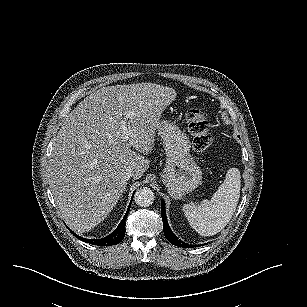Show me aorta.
<instances>
[{
  "mask_svg": "<svg viewBox=\"0 0 307 307\" xmlns=\"http://www.w3.org/2000/svg\"><path fill=\"white\" fill-rule=\"evenodd\" d=\"M134 200L138 206L148 207L154 201V193L148 187H141L135 192Z\"/></svg>",
  "mask_w": 307,
  "mask_h": 307,
  "instance_id": "obj_1",
  "label": "aorta"
}]
</instances>
